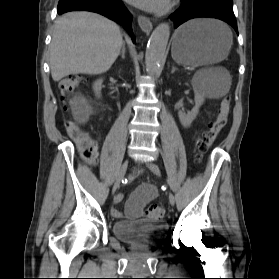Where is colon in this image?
<instances>
[{"label":"colon","instance_id":"colon-1","mask_svg":"<svg viewBox=\"0 0 279 279\" xmlns=\"http://www.w3.org/2000/svg\"><path fill=\"white\" fill-rule=\"evenodd\" d=\"M86 81V78L82 76H69L61 80L59 88L63 95L70 96L76 93L79 88L86 83ZM230 107L231 97L228 95L223 98L216 117L209 124L208 128L203 132L202 137L197 142L199 161L210 149L221 130L227 124ZM66 127L69 134L75 138L82 159L87 163H94L97 160L98 156L97 142L86 132H84L77 123L73 121H68L66 123ZM146 214L149 218L158 220L164 216L165 210L160 206L152 205L147 208Z\"/></svg>","mask_w":279,"mask_h":279}]
</instances>
